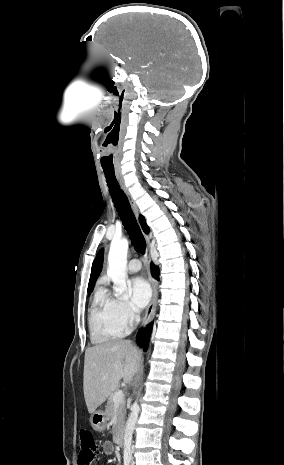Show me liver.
I'll list each match as a JSON object with an SVG mask.
<instances>
[{
	"mask_svg": "<svg viewBox=\"0 0 284 465\" xmlns=\"http://www.w3.org/2000/svg\"><path fill=\"white\" fill-rule=\"evenodd\" d=\"M141 353L130 341L112 339L85 351L83 391L88 413H95L119 381L131 383L139 371Z\"/></svg>",
	"mask_w": 284,
	"mask_h": 465,
	"instance_id": "6515ba94",
	"label": "liver"
}]
</instances>
